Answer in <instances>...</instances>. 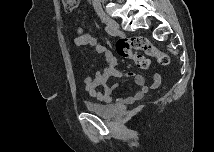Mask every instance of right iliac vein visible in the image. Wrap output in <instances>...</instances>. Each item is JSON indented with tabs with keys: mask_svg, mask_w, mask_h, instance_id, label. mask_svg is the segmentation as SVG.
I'll return each instance as SVG.
<instances>
[{
	"mask_svg": "<svg viewBox=\"0 0 215 152\" xmlns=\"http://www.w3.org/2000/svg\"><path fill=\"white\" fill-rule=\"evenodd\" d=\"M100 18L104 24L113 29L115 32L119 31V25L115 20H113L112 18L108 17L105 14H101Z\"/></svg>",
	"mask_w": 215,
	"mask_h": 152,
	"instance_id": "63e3f726",
	"label": "right iliac vein"
}]
</instances>
